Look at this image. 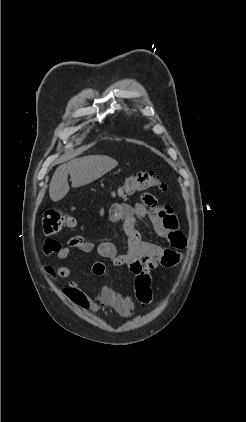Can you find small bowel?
I'll use <instances>...</instances> for the list:
<instances>
[{"mask_svg":"<svg viewBox=\"0 0 246 422\" xmlns=\"http://www.w3.org/2000/svg\"><path fill=\"white\" fill-rule=\"evenodd\" d=\"M143 217L148 218L156 235L166 240L171 248L142 239L136 227V220ZM107 219L110 222L123 221V230L128 240L126 253L119 254L115 245L109 241L95 245L81 236H73L67 246H62L53 239L46 240L43 246L45 255L54 253L58 260H65L71 255L73 249L83 253L96 250L102 258L109 260L114 266L127 267L135 274L136 267L145 260L157 259L167 249L179 251L186 246V237L179 228L178 219L172 208L168 205L159 207L153 195H144L143 201L134 205L114 204L108 211ZM104 269V264L100 261L94 262L92 265V271L97 276H101ZM45 271L54 281L71 277L74 274L73 269L69 266H61L56 269L52 266H45ZM63 292L70 300L84 309L98 311L110 308L122 317H129L135 308L132 298L109 286H103L97 294L89 295L83 291L77 281L71 280Z\"/></svg>","mask_w":246,"mask_h":422,"instance_id":"1","label":"small bowel"}]
</instances>
